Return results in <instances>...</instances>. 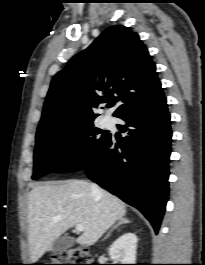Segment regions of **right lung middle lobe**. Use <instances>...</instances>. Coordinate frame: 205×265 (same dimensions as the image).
<instances>
[{"instance_id": "obj_1", "label": "right lung middle lobe", "mask_w": 205, "mask_h": 265, "mask_svg": "<svg viewBox=\"0 0 205 265\" xmlns=\"http://www.w3.org/2000/svg\"><path fill=\"white\" fill-rule=\"evenodd\" d=\"M103 133L94 127L93 120L60 124L37 131L32 179L53 172L83 169L109 139L110 134Z\"/></svg>"}]
</instances>
